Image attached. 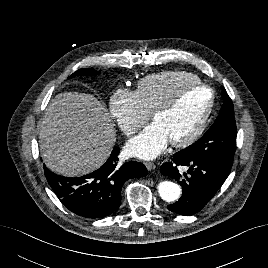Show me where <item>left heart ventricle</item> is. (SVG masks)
Wrapping results in <instances>:
<instances>
[{
  "label": "left heart ventricle",
  "mask_w": 268,
  "mask_h": 268,
  "mask_svg": "<svg viewBox=\"0 0 268 268\" xmlns=\"http://www.w3.org/2000/svg\"><path fill=\"white\" fill-rule=\"evenodd\" d=\"M210 99L209 90L201 87L185 90L177 105L168 113L156 118L169 141L185 137L199 121Z\"/></svg>",
  "instance_id": "b2bd125f"
}]
</instances>
